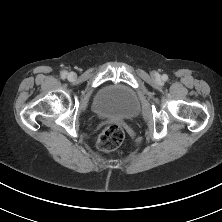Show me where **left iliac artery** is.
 Returning <instances> with one entry per match:
<instances>
[{"instance_id": "left-iliac-artery-1", "label": "left iliac artery", "mask_w": 222, "mask_h": 222, "mask_svg": "<svg viewBox=\"0 0 222 222\" xmlns=\"http://www.w3.org/2000/svg\"><path fill=\"white\" fill-rule=\"evenodd\" d=\"M164 80H167V76L164 77Z\"/></svg>"}]
</instances>
